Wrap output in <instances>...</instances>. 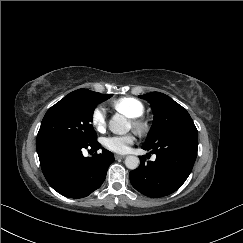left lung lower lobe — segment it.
<instances>
[{
  "mask_svg": "<svg viewBox=\"0 0 243 243\" xmlns=\"http://www.w3.org/2000/svg\"><path fill=\"white\" fill-rule=\"evenodd\" d=\"M142 149L152 150L157 157L147 162L144 156L140 157L139 168L129 174L131 184L148 197H163L175 192L191 173L197 156L198 135L188 133L152 147L143 145Z\"/></svg>",
  "mask_w": 243,
  "mask_h": 243,
  "instance_id": "obj_1",
  "label": "left lung lower lobe"
}]
</instances>
